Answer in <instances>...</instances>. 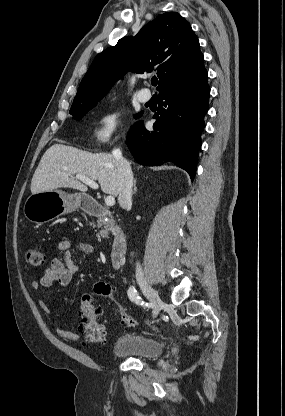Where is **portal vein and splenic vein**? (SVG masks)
I'll list each match as a JSON object with an SVG mask.
<instances>
[{"instance_id":"portal-vein-and-splenic-vein-1","label":"portal vein and splenic vein","mask_w":285,"mask_h":416,"mask_svg":"<svg viewBox=\"0 0 285 416\" xmlns=\"http://www.w3.org/2000/svg\"><path fill=\"white\" fill-rule=\"evenodd\" d=\"M76 178L77 180H80V182H83V184H86V186H89V188H92V190H98L99 188L96 182H93V180H89V178H86V176H81V174H76ZM105 204L106 206H114L115 198H113V196H107V198H105Z\"/></svg>"}]
</instances>
